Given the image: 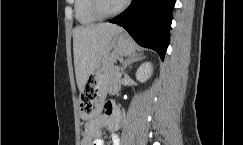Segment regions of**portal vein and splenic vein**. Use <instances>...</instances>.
Segmentation results:
<instances>
[{"label": "portal vein and splenic vein", "mask_w": 243, "mask_h": 145, "mask_svg": "<svg viewBox=\"0 0 243 145\" xmlns=\"http://www.w3.org/2000/svg\"><path fill=\"white\" fill-rule=\"evenodd\" d=\"M119 77H121V73H119Z\"/></svg>", "instance_id": "1"}]
</instances>
